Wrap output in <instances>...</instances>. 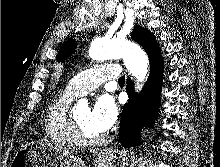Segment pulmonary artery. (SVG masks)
<instances>
[{
    "instance_id": "1",
    "label": "pulmonary artery",
    "mask_w": 220,
    "mask_h": 167,
    "mask_svg": "<svg viewBox=\"0 0 220 167\" xmlns=\"http://www.w3.org/2000/svg\"><path fill=\"white\" fill-rule=\"evenodd\" d=\"M120 76V66L115 63H107L92 67L75 75L69 82L67 89L81 96L97 88L104 81L118 79Z\"/></svg>"
}]
</instances>
